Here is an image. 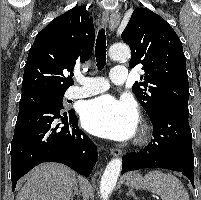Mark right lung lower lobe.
<instances>
[{"mask_svg":"<svg viewBox=\"0 0 201 200\" xmlns=\"http://www.w3.org/2000/svg\"><path fill=\"white\" fill-rule=\"evenodd\" d=\"M10 154L13 191L18 179L42 162L63 163L88 177L98 160L75 112L47 105L19 110Z\"/></svg>","mask_w":201,"mask_h":200,"instance_id":"1","label":"right lung lower lobe"}]
</instances>
